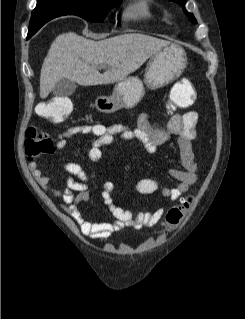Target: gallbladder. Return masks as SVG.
Here are the masks:
<instances>
[{
  "label": "gallbladder",
  "instance_id": "1",
  "mask_svg": "<svg viewBox=\"0 0 245 319\" xmlns=\"http://www.w3.org/2000/svg\"><path fill=\"white\" fill-rule=\"evenodd\" d=\"M76 87L77 85L74 81L63 78L56 83L52 92L58 97H68L74 93Z\"/></svg>",
  "mask_w": 245,
  "mask_h": 319
}]
</instances>
